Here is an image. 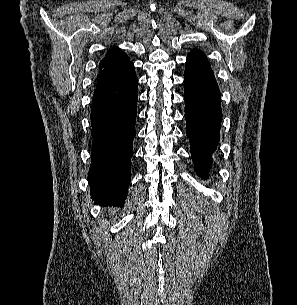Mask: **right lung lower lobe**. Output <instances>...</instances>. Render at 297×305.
Here are the masks:
<instances>
[{"mask_svg": "<svg viewBox=\"0 0 297 305\" xmlns=\"http://www.w3.org/2000/svg\"><path fill=\"white\" fill-rule=\"evenodd\" d=\"M138 81L134 65L97 81L91 109L92 154L88 183L103 204H121L130 183Z\"/></svg>", "mask_w": 297, "mask_h": 305, "instance_id": "obj_1", "label": "right lung lower lobe"}]
</instances>
